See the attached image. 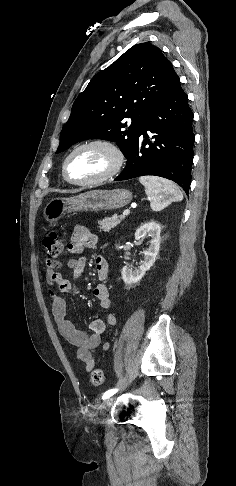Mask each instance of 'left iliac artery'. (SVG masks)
I'll use <instances>...</instances> for the list:
<instances>
[{
	"instance_id": "44dca946",
	"label": "left iliac artery",
	"mask_w": 236,
	"mask_h": 486,
	"mask_svg": "<svg viewBox=\"0 0 236 486\" xmlns=\"http://www.w3.org/2000/svg\"><path fill=\"white\" fill-rule=\"evenodd\" d=\"M118 391V389H110L108 391H106L103 396H102V399H107L109 397H111L112 395H114L116 392Z\"/></svg>"
}]
</instances>
